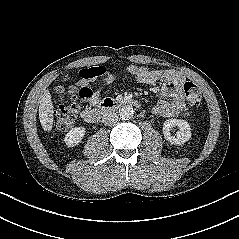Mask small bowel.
<instances>
[{
	"instance_id": "obj_1",
	"label": "small bowel",
	"mask_w": 239,
	"mask_h": 239,
	"mask_svg": "<svg viewBox=\"0 0 239 239\" xmlns=\"http://www.w3.org/2000/svg\"><path fill=\"white\" fill-rule=\"evenodd\" d=\"M96 68L98 67L85 68L79 72V97L90 105H97L101 101V91L92 87L101 76L92 74ZM127 72L140 84L154 85L160 79L164 80L160 88L161 99L153 108L155 114L162 117H176L187 114L184 97L180 90L183 80L181 76L170 71L154 70L136 65L128 66ZM106 81L112 82L113 76H108Z\"/></svg>"
}]
</instances>
